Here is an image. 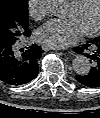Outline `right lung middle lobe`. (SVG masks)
I'll use <instances>...</instances> for the list:
<instances>
[{
  "label": "right lung middle lobe",
  "instance_id": "right-lung-middle-lobe-1",
  "mask_svg": "<svg viewBox=\"0 0 100 118\" xmlns=\"http://www.w3.org/2000/svg\"><path fill=\"white\" fill-rule=\"evenodd\" d=\"M27 7L28 0H0V43L29 36Z\"/></svg>",
  "mask_w": 100,
  "mask_h": 118
}]
</instances>
